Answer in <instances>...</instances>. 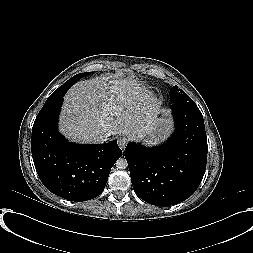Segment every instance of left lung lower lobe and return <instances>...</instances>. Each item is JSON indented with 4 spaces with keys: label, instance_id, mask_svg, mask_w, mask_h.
<instances>
[{
    "label": "left lung lower lobe",
    "instance_id": "obj_1",
    "mask_svg": "<svg viewBox=\"0 0 253 253\" xmlns=\"http://www.w3.org/2000/svg\"><path fill=\"white\" fill-rule=\"evenodd\" d=\"M175 131L163 145L131 142L125 149L135 193L145 202L169 206L189 198L206 169L207 137L198 107L171 105Z\"/></svg>",
    "mask_w": 253,
    "mask_h": 253
}]
</instances>
